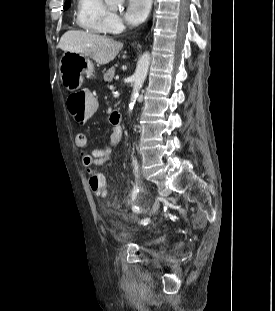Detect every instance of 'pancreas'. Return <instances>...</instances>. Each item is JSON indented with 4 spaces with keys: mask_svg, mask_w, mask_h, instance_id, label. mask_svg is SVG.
<instances>
[{
    "mask_svg": "<svg viewBox=\"0 0 275 311\" xmlns=\"http://www.w3.org/2000/svg\"><path fill=\"white\" fill-rule=\"evenodd\" d=\"M115 74V68H110L106 73H104V81L111 82Z\"/></svg>",
    "mask_w": 275,
    "mask_h": 311,
    "instance_id": "pancreas-1",
    "label": "pancreas"
}]
</instances>
